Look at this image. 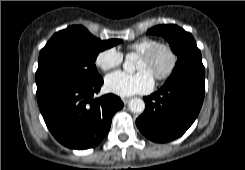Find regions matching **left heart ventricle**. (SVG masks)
Listing matches in <instances>:
<instances>
[{
	"mask_svg": "<svg viewBox=\"0 0 245 170\" xmlns=\"http://www.w3.org/2000/svg\"><path fill=\"white\" fill-rule=\"evenodd\" d=\"M170 64V57L165 50H160L150 60L138 58L136 70H147L152 76L163 73Z\"/></svg>",
	"mask_w": 245,
	"mask_h": 170,
	"instance_id": "1",
	"label": "left heart ventricle"
}]
</instances>
